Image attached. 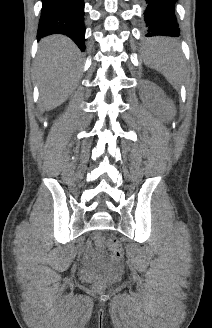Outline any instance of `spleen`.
I'll return each instance as SVG.
<instances>
[{
    "instance_id": "1",
    "label": "spleen",
    "mask_w": 212,
    "mask_h": 328,
    "mask_svg": "<svg viewBox=\"0 0 212 328\" xmlns=\"http://www.w3.org/2000/svg\"><path fill=\"white\" fill-rule=\"evenodd\" d=\"M144 54L148 66L161 72L174 85L179 83L183 60L177 43L168 38H155L145 47Z\"/></svg>"
}]
</instances>
